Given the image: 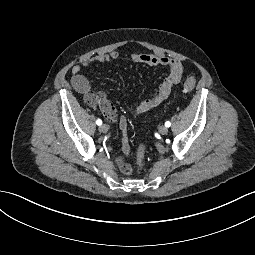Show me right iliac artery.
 <instances>
[{
  "label": "right iliac artery",
  "mask_w": 255,
  "mask_h": 255,
  "mask_svg": "<svg viewBox=\"0 0 255 255\" xmlns=\"http://www.w3.org/2000/svg\"><path fill=\"white\" fill-rule=\"evenodd\" d=\"M96 124H97V125H101V124H102V121H101L100 119H98V120L96 121Z\"/></svg>",
  "instance_id": "82829eb1"
}]
</instances>
